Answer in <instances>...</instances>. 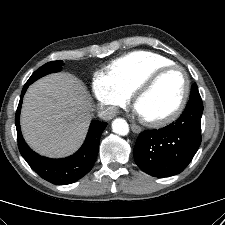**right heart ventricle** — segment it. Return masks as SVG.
<instances>
[{"mask_svg":"<svg viewBox=\"0 0 225 225\" xmlns=\"http://www.w3.org/2000/svg\"><path fill=\"white\" fill-rule=\"evenodd\" d=\"M170 64L173 61L162 55L134 51L113 61L107 72L112 81L130 96L148 75Z\"/></svg>","mask_w":225,"mask_h":225,"instance_id":"obj_1","label":"right heart ventricle"}]
</instances>
